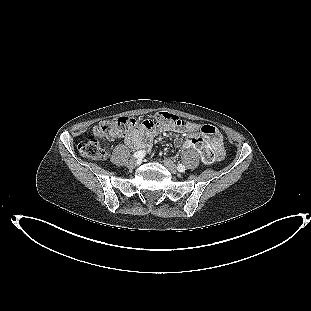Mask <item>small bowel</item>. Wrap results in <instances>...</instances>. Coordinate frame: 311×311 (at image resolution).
I'll return each instance as SVG.
<instances>
[{
    "label": "small bowel",
    "instance_id": "obj_1",
    "mask_svg": "<svg viewBox=\"0 0 311 311\" xmlns=\"http://www.w3.org/2000/svg\"><path fill=\"white\" fill-rule=\"evenodd\" d=\"M196 124H191L187 127L176 126L173 124H164V125H150V126H140L138 129L134 130L127 136H125V142L130 147L149 152L151 149V143L155 137L165 132H175V133H184L189 129L195 128ZM202 130L210 138L211 145L214 148L216 153V158L220 159L221 151L223 150V141L222 136L218 129L212 125H203ZM174 144L177 147H190L192 144L189 140L183 141L181 138L176 137L174 139Z\"/></svg>",
    "mask_w": 311,
    "mask_h": 311
}]
</instances>
